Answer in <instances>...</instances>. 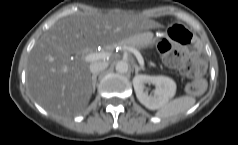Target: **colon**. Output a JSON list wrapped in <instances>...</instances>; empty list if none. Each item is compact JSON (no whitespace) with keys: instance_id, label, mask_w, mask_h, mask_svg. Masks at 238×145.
Listing matches in <instances>:
<instances>
[{"instance_id":"colon-1","label":"colon","mask_w":238,"mask_h":145,"mask_svg":"<svg viewBox=\"0 0 238 145\" xmlns=\"http://www.w3.org/2000/svg\"><path fill=\"white\" fill-rule=\"evenodd\" d=\"M158 50L169 67L193 79L188 86L190 93L199 94L205 89L203 75L206 70V61L202 55L185 56L174 50L166 39L159 40Z\"/></svg>"}]
</instances>
